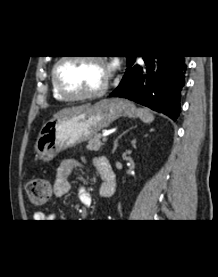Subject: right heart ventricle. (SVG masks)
I'll list each match as a JSON object with an SVG mask.
<instances>
[{
  "label": "right heart ventricle",
  "instance_id": "obj_1",
  "mask_svg": "<svg viewBox=\"0 0 218 277\" xmlns=\"http://www.w3.org/2000/svg\"><path fill=\"white\" fill-rule=\"evenodd\" d=\"M52 93H53V97L58 100V101H65V99L63 97H61L59 95V93L56 91L53 80H52Z\"/></svg>",
  "mask_w": 218,
  "mask_h": 277
}]
</instances>
